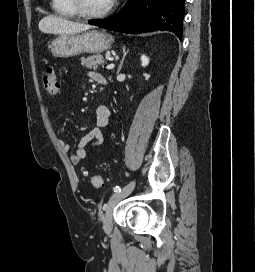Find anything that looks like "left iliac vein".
<instances>
[{
	"mask_svg": "<svg viewBox=\"0 0 255 272\" xmlns=\"http://www.w3.org/2000/svg\"><path fill=\"white\" fill-rule=\"evenodd\" d=\"M135 187V181H131L129 184H127L121 192H115L114 194H112V196L110 197L108 204H107V208H106V212H105V216L103 218V228L106 232H110L112 229V216H113V210L114 207L116 206V204L123 198H125L126 196H128L134 189Z\"/></svg>",
	"mask_w": 255,
	"mask_h": 272,
	"instance_id": "left-iliac-vein-1",
	"label": "left iliac vein"
}]
</instances>
